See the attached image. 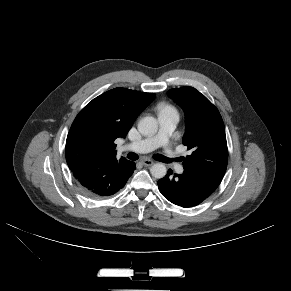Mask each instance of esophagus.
<instances>
[{"label": "esophagus", "instance_id": "obj_1", "mask_svg": "<svg viewBox=\"0 0 291 291\" xmlns=\"http://www.w3.org/2000/svg\"><path fill=\"white\" fill-rule=\"evenodd\" d=\"M141 163L143 164V165H145V166H151V165H153L154 164V161L153 160H151V159H143L142 161H141Z\"/></svg>", "mask_w": 291, "mask_h": 291}]
</instances>
